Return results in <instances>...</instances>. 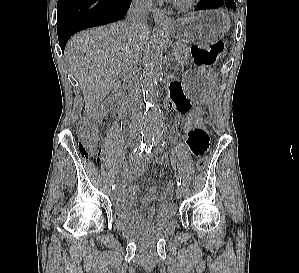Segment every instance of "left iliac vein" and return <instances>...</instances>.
<instances>
[{"label": "left iliac vein", "mask_w": 299, "mask_h": 273, "mask_svg": "<svg viewBox=\"0 0 299 273\" xmlns=\"http://www.w3.org/2000/svg\"><path fill=\"white\" fill-rule=\"evenodd\" d=\"M176 195H177L178 198H182L183 195H184V191H183V189L180 188V187H178V188L176 189Z\"/></svg>", "instance_id": "1"}]
</instances>
